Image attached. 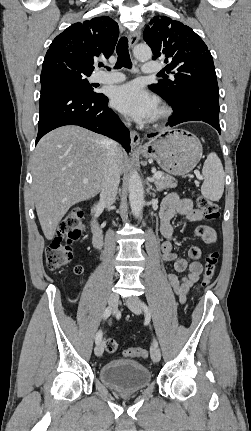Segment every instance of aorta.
Instances as JSON below:
<instances>
[{
    "mask_svg": "<svg viewBox=\"0 0 251 431\" xmlns=\"http://www.w3.org/2000/svg\"><path fill=\"white\" fill-rule=\"evenodd\" d=\"M133 54L138 60H149L152 57V51L147 45H137ZM128 190L131 212L133 216L138 217L144 205V191L141 178L136 171L130 173Z\"/></svg>",
    "mask_w": 251,
    "mask_h": 431,
    "instance_id": "obj_1",
    "label": "aorta"
}]
</instances>
